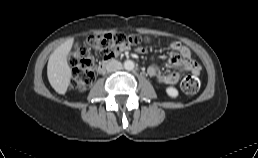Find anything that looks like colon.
I'll list each match as a JSON object with an SVG mask.
<instances>
[{
    "instance_id": "colon-1",
    "label": "colon",
    "mask_w": 258,
    "mask_h": 158,
    "mask_svg": "<svg viewBox=\"0 0 258 158\" xmlns=\"http://www.w3.org/2000/svg\"><path fill=\"white\" fill-rule=\"evenodd\" d=\"M145 39L139 35L108 33L92 35L87 38L85 45L75 47L69 54V63L73 68L71 85L78 91H85L94 81V59L90 51L103 56H113L121 49L139 46ZM182 90L187 94H195L200 88L197 76H187L182 80Z\"/></svg>"
}]
</instances>
